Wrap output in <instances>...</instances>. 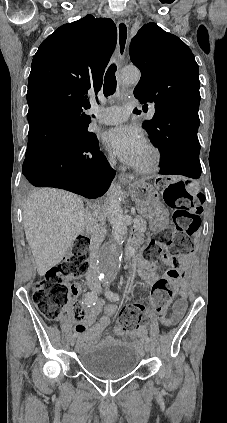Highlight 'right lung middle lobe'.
I'll use <instances>...</instances> for the list:
<instances>
[{"mask_svg": "<svg viewBox=\"0 0 227 423\" xmlns=\"http://www.w3.org/2000/svg\"><path fill=\"white\" fill-rule=\"evenodd\" d=\"M97 141L96 136L93 133L88 134L87 136L73 142L70 144V149H81L89 145L91 142ZM26 157H29L31 155H26Z\"/></svg>", "mask_w": 227, "mask_h": 423, "instance_id": "dd1d6c3e", "label": "right lung middle lobe"}]
</instances>
